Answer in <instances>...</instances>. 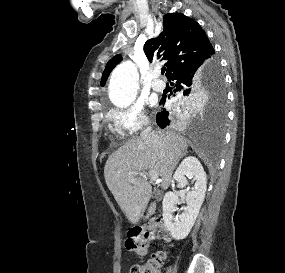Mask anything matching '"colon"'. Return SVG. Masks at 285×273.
I'll return each mask as SVG.
<instances>
[{
  "instance_id": "colon-1",
  "label": "colon",
  "mask_w": 285,
  "mask_h": 273,
  "mask_svg": "<svg viewBox=\"0 0 285 273\" xmlns=\"http://www.w3.org/2000/svg\"><path fill=\"white\" fill-rule=\"evenodd\" d=\"M159 239L167 241V231L164 228L136 229L126 239L125 248L139 257H144L148 253L149 241ZM165 261V254L159 253L154 255L145 263L134 266L130 273H160Z\"/></svg>"
}]
</instances>
